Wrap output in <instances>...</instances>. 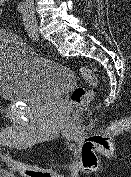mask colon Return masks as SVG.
I'll use <instances>...</instances> for the list:
<instances>
[{"instance_id":"5ec220e1","label":"colon","mask_w":131,"mask_h":177,"mask_svg":"<svg viewBox=\"0 0 131 177\" xmlns=\"http://www.w3.org/2000/svg\"><path fill=\"white\" fill-rule=\"evenodd\" d=\"M11 3L12 0H0V10L7 9ZM78 72L80 76L86 81L88 86H77L71 91L69 101L70 111H74L89 103L94 96V90L97 86V77L90 68L86 66H79Z\"/></svg>"}]
</instances>
